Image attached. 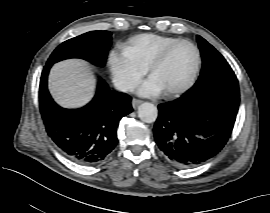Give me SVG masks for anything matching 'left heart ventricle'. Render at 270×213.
<instances>
[{
	"instance_id": "obj_1",
	"label": "left heart ventricle",
	"mask_w": 270,
	"mask_h": 213,
	"mask_svg": "<svg viewBox=\"0 0 270 213\" xmlns=\"http://www.w3.org/2000/svg\"><path fill=\"white\" fill-rule=\"evenodd\" d=\"M195 65L194 49L187 44L179 45L154 70L151 78L162 91L177 89L190 79Z\"/></svg>"
}]
</instances>
